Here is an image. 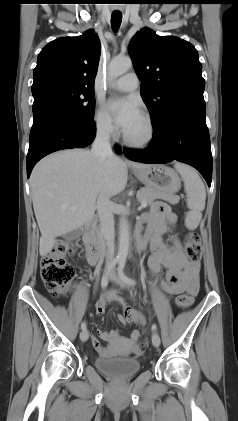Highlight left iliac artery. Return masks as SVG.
<instances>
[{"label": "left iliac artery", "instance_id": "obj_1", "mask_svg": "<svg viewBox=\"0 0 238 421\" xmlns=\"http://www.w3.org/2000/svg\"><path fill=\"white\" fill-rule=\"evenodd\" d=\"M124 266H125V261L121 260L119 262V265H118V268H117L119 278L127 285H135L136 282L133 279H131L128 276L125 275V273L123 271ZM151 328H152L153 331H155L157 329L156 324H153Z\"/></svg>", "mask_w": 238, "mask_h": 421}]
</instances>
